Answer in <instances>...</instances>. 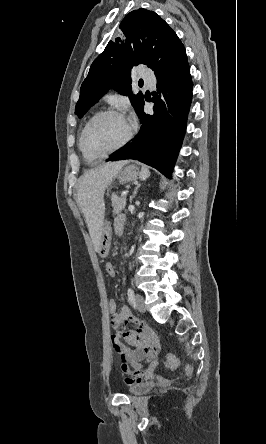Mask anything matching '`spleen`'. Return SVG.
<instances>
[{
	"mask_svg": "<svg viewBox=\"0 0 266 444\" xmlns=\"http://www.w3.org/2000/svg\"><path fill=\"white\" fill-rule=\"evenodd\" d=\"M142 171H143V173H144V178H146V177L149 176L150 172H149V170H148L146 167H143V168H142Z\"/></svg>",
	"mask_w": 266,
	"mask_h": 444,
	"instance_id": "obj_1",
	"label": "spleen"
}]
</instances>
